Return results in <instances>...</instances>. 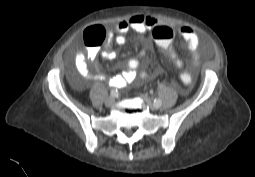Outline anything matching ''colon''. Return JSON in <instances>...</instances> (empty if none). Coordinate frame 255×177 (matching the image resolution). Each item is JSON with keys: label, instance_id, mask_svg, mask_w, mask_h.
I'll return each mask as SVG.
<instances>
[{"label": "colon", "instance_id": "5ec220e1", "mask_svg": "<svg viewBox=\"0 0 255 177\" xmlns=\"http://www.w3.org/2000/svg\"><path fill=\"white\" fill-rule=\"evenodd\" d=\"M107 37V32L103 27H91L85 34L84 39L90 47L96 48L101 45ZM153 37L159 45L163 56L168 60V63L178 70L180 82L183 85H188L195 80V75L185 67V59L179 54L174 47L172 41L174 31L168 26H158L153 30Z\"/></svg>", "mask_w": 255, "mask_h": 177}]
</instances>
